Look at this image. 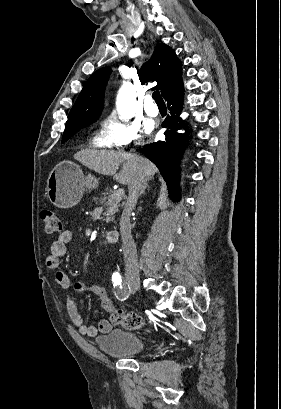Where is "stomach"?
<instances>
[{"label": "stomach", "instance_id": "obj_1", "mask_svg": "<svg viewBox=\"0 0 281 409\" xmlns=\"http://www.w3.org/2000/svg\"><path fill=\"white\" fill-rule=\"evenodd\" d=\"M98 186L97 178L85 176L82 168L72 160H62L47 178V196L58 209H70L80 202L85 190Z\"/></svg>", "mask_w": 281, "mask_h": 409}]
</instances>
